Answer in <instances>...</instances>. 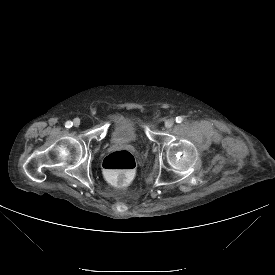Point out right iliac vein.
Returning a JSON list of instances; mask_svg holds the SVG:
<instances>
[{
  "label": "right iliac vein",
  "instance_id": "1",
  "mask_svg": "<svg viewBox=\"0 0 275 275\" xmlns=\"http://www.w3.org/2000/svg\"><path fill=\"white\" fill-rule=\"evenodd\" d=\"M73 123H74L75 127H78L80 125V119L75 118L74 121H73Z\"/></svg>",
  "mask_w": 275,
  "mask_h": 275
}]
</instances>
